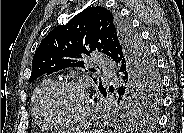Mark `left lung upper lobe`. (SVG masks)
Instances as JSON below:
<instances>
[{
  "label": "left lung upper lobe",
  "instance_id": "left-lung-upper-lobe-1",
  "mask_svg": "<svg viewBox=\"0 0 184 133\" xmlns=\"http://www.w3.org/2000/svg\"><path fill=\"white\" fill-rule=\"evenodd\" d=\"M94 51L111 57L121 69L114 111L122 116L154 117L161 99L155 61L130 24L101 6L84 9L48 33L34 54L29 82L70 66L84 68V56ZM99 90H106L101 83Z\"/></svg>",
  "mask_w": 184,
  "mask_h": 133
}]
</instances>
